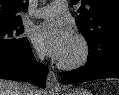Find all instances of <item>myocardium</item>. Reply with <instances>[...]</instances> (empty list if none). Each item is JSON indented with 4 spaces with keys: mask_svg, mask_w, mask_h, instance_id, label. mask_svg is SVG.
Here are the masks:
<instances>
[{
    "mask_svg": "<svg viewBox=\"0 0 119 95\" xmlns=\"http://www.w3.org/2000/svg\"><path fill=\"white\" fill-rule=\"evenodd\" d=\"M75 41L79 45V54L72 60H60L58 66L62 69L73 70L84 66L90 56V46L87 39L81 35L76 34L74 36Z\"/></svg>",
    "mask_w": 119,
    "mask_h": 95,
    "instance_id": "f54148a6",
    "label": "myocardium"
}]
</instances>
